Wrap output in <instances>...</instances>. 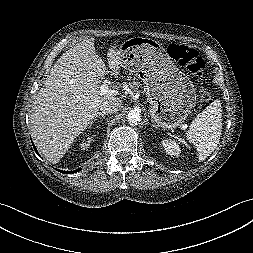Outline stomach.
I'll return each mask as SVG.
<instances>
[{"label": "stomach", "mask_w": 253, "mask_h": 253, "mask_svg": "<svg viewBox=\"0 0 253 253\" xmlns=\"http://www.w3.org/2000/svg\"><path fill=\"white\" fill-rule=\"evenodd\" d=\"M121 66L142 79L150 102L149 113L158 127L179 126L196 105L192 81L173 63L156 40L135 37L118 48Z\"/></svg>", "instance_id": "1"}]
</instances>
